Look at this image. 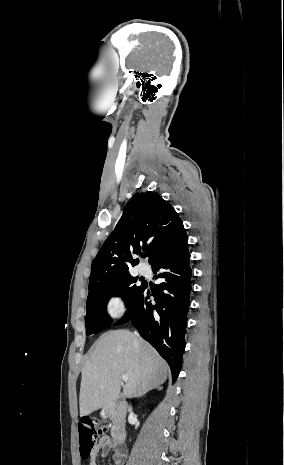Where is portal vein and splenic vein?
Here are the masks:
<instances>
[{"label":"portal vein and splenic vein","mask_w":284,"mask_h":465,"mask_svg":"<svg viewBox=\"0 0 284 465\" xmlns=\"http://www.w3.org/2000/svg\"><path fill=\"white\" fill-rule=\"evenodd\" d=\"M121 379H122V381H125V383H127L128 375H122Z\"/></svg>","instance_id":"1"}]
</instances>
